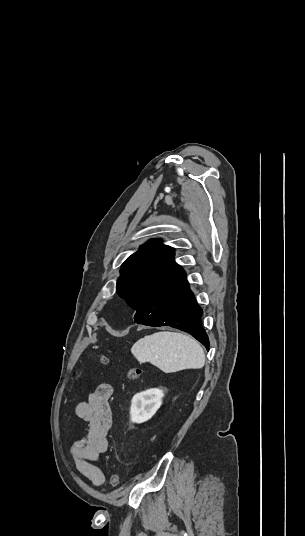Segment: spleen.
<instances>
[{"mask_svg":"<svg viewBox=\"0 0 305 536\" xmlns=\"http://www.w3.org/2000/svg\"><path fill=\"white\" fill-rule=\"evenodd\" d=\"M131 354L139 364L150 362L165 374L180 370H198L205 364V354L198 342L177 332H157L138 340Z\"/></svg>","mask_w":305,"mask_h":536,"instance_id":"obj_1","label":"spleen"}]
</instances>
